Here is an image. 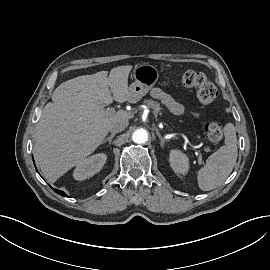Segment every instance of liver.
Wrapping results in <instances>:
<instances>
[{"label": "liver", "instance_id": "obj_1", "mask_svg": "<svg viewBox=\"0 0 270 270\" xmlns=\"http://www.w3.org/2000/svg\"><path fill=\"white\" fill-rule=\"evenodd\" d=\"M131 65L83 75L60 84L43 109L34 134L33 155L44 177L55 182L103 142L110 127L133 114L105 107L130 100ZM110 88V89H109ZM112 93V94H111Z\"/></svg>", "mask_w": 270, "mask_h": 270}]
</instances>
